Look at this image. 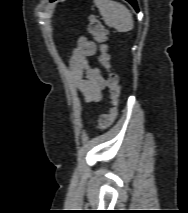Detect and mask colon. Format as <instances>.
<instances>
[{
	"mask_svg": "<svg viewBox=\"0 0 188 213\" xmlns=\"http://www.w3.org/2000/svg\"><path fill=\"white\" fill-rule=\"evenodd\" d=\"M89 33L96 39L101 47V55L99 60L103 67L108 70L106 84L109 89L113 107L108 113L102 114L99 119V126L104 128L108 127L117 115V107L121 97V87L118 83L116 74L109 70V56L106 51L105 41L107 40V30L103 24L95 17L90 16L88 20Z\"/></svg>",
	"mask_w": 188,
	"mask_h": 213,
	"instance_id": "colon-1",
	"label": "colon"
}]
</instances>
